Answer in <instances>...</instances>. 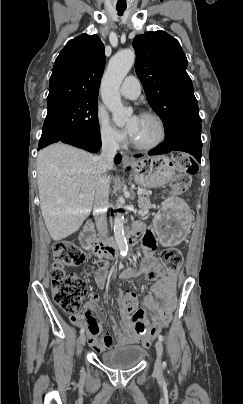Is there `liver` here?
<instances>
[{
    "mask_svg": "<svg viewBox=\"0 0 243 404\" xmlns=\"http://www.w3.org/2000/svg\"><path fill=\"white\" fill-rule=\"evenodd\" d=\"M98 156L52 144L37 156V184L45 226L55 242L71 236L94 204ZM79 194H84L80 198Z\"/></svg>",
    "mask_w": 243,
    "mask_h": 404,
    "instance_id": "obj_1",
    "label": "liver"
}]
</instances>
